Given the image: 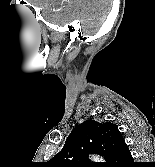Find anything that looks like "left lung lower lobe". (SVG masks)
<instances>
[{
    "label": "left lung lower lobe",
    "mask_w": 155,
    "mask_h": 167,
    "mask_svg": "<svg viewBox=\"0 0 155 167\" xmlns=\"http://www.w3.org/2000/svg\"><path fill=\"white\" fill-rule=\"evenodd\" d=\"M133 158L125 143L122 141L118 146L115 156L108 167H126L127 164L132 163Z\"/></svg>",
    "instance_id": "1"
}]
</instances>
